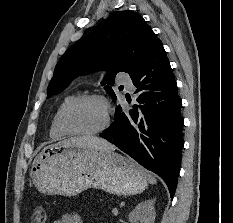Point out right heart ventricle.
Instances as JSON below:
<instances>
[{
  "label": "right heart ventricle",
  "mask_w": 233,
  "mask_h": 223,
  "mask_svg": "<svg viewBox=\"0 0 233 223\" xmlns=\"http://www.w3.org/2000/svg\"><path fill=\"white\" fill-rule=\"evenodd\" d=\"M79 95V91L67 94L58 104L53 117L51 119L49 135L53 140H59L66 137L68 134L65 133L59 126V115L63 107L73 98Z\"/></svg>",
  "instance_id": "e07e8e85"
}]
</instances>
